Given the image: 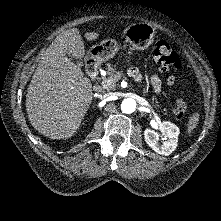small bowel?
Wrapping results in <instances>:
<instances>
[{"label":"small bowel","mask_w":221,"mask_h":221,"mask_svg":"<svg viewBox=\"0 0 221 221\" xmlns=\"http://www.w3.org/2000/svg\"><path fill=\"white\" fill-rule=\"evenodd\" d=\"M132 73L135 75V76H137V71L136 70H132ZM150 81H151V84H152V86L154 87V89L155 90H159V88H160V82H159V79H158V77L156 76V75H152L151 77H150Z\"/></svg>","instance_id":"1"}]
</instances>
